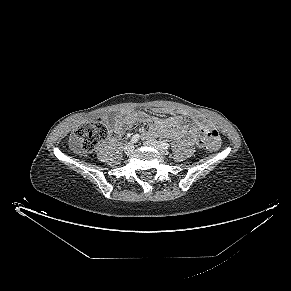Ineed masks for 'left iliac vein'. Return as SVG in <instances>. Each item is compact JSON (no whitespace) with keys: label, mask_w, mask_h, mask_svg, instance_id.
<instances>
[{"label":"left iliac vein","mask_w":291,"mask_h":291,"mask_svg":"<svg viewBox=\"0 0 291 291\" xmlns=\"http://www.w3.org/2000/svg\"><path fill=\"white\" fill-rule=\"evenodd\" d=\"M145 145H147V146H151V147H153V148H155V149H157V150H159L162 154H167L168 153V151H167V149H164L156 140H154V139H148V140H146L145 141V143H144Z\"/></svg>","instance_id":"1"}]
</instances>
